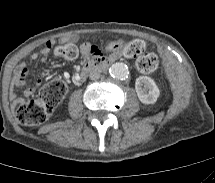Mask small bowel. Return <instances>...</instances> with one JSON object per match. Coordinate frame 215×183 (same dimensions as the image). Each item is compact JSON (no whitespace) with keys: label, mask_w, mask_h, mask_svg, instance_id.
<instances>
[{"label":"small bowel","mask_w":215,"mask_h":183,"mask_svg":"<svg viewBox=\"0 0 215 183\" xmlns=\"http://www.w3.org/2000/svg\"><path fill=\"white\" fill-rule=\"evenodd\" d=\"M51 46H52V43L50 41L46 42L41 49H39L36 52L31 54L30 60L35 61V60L47 55L50 51ZM89 46H90L89 43H85L82 46V54L86 57L91 55V53L88 49ZM28 75H29L28 65L26 63L20 64L18 69L15 72V75L13 78V84L15 86L24 87L26 85V80H27ZM39 83H40V80H37L36 85H39ZM34 91H35V87H28L25 89L24 95L26 97H30L34 93ZM10 98H11L14 105H18V104H21L23 102V99L19 98L13 92L10 94Z\"/></svg>","instance_id":"obj_1"}]
</instances>
